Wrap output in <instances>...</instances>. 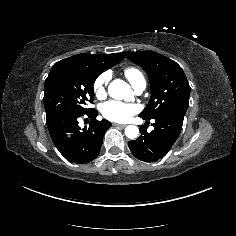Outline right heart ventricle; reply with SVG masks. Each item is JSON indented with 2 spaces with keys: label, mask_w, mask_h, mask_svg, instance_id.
<instances>
[{
  "label": "right heart ventricle",
  "mask_w": 236,
  "mask_h": 236,
  "mask_svg": "<svg viewBox=\"0 0 236 236\" xmlns=\"http://www.w3.org/2000/svg\"><path fill=\"white\" fill-rule=\"evenodd\" d=\"M125 76L132 83V85L138 82L139 80L144 79L142 73L134 67H129L125 69Z\"/></svg>",
  "instance_id": "1"
}]
</instances>
